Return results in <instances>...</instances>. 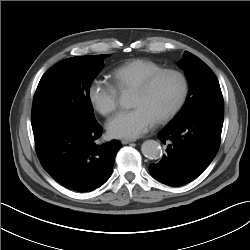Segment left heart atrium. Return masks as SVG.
Wrapping results in <instances>:
<instances>
[{"label":"left heart atrium","mask_w":250,"mask_h":250,"mask_svg":"<svg viewBox=\"0 0 250 250\" xmlns=\"http://www.w3.org/2000/svg\"><path fill=\"white\" fill-rule=\"evenodd\" d=\"M155 122V118L144 107H135L115 115L109 120L107 128L115 138L134 139L145 134Z\"/></svg>","instance_id":"left-heart-atrium-1"}]
</instances>
